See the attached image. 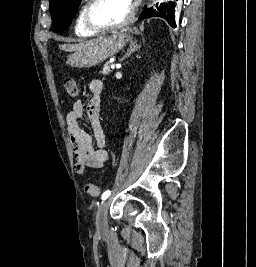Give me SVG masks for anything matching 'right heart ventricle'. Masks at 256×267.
<instances>
[{
    "mask_svg": "<svg viewBox=\"0 0 256 267\" xmlns=\"http://www.w3.org/2000/svg\"><path fill=\"white\" fill-rule=\"evenodd\" d=\"M84 13L85 11H81L74 23V33L76 36H97L99 33L94 32L87 28L84 22Z\"/></svg>",
    "mask_w": 256,
    "mask_h": 267,
    "instance_id": "1",
    "label": "right heart ventricle"
}]
</instances>
